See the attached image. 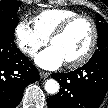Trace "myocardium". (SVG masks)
Segmentation results:
<instances>
[{"instance_id": "myocardium-1", "label": "myocardium", "mask_w": 108, "mask_h": 108, "mask_svg": "<svg viewBox=\"0 0 108 108\" xmlns=\"http://www.w3.org/2000/svg\"><path fill=\"white\" fill-rule=\"evenodd\" d=\"M80 20H84L90 25L92 31L91 41L86 51L80 57L65 63L69 68L79 67L85 64L92 57L98 42V28L96 22L88 15L77 14L63 21L49 37V42L52 44L55 38L63 35L75 22Z\"/></svg>"}]
</instances>
